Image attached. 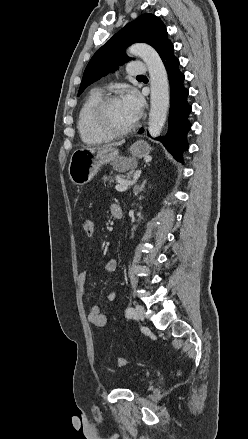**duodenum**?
I'll return each mask as SVG.
<instances>
[{
    "label": "duodenum",
    "mask_w": 248,
    "mask_h": 439,
    "mask_svg": "<svg viewBox=\"0 0 248 439\" xmlns=\"http://www.w3.org/2000/svg\"><path fill=\"white\" fill-rule=\"evenodd\" d=\"M113 216L116 219H121L123 217V209L121 206L117 205L114 209H113Z\"/></svg>",
    "instance_id": "410a0bca"
}]
</instances>
